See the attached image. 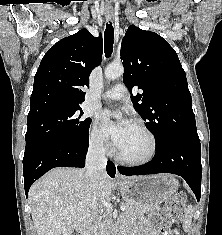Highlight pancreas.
Instances as JSON below:
<instances>
[{
    "label": "pancreas",
    "instance_id": "cf45deb5",
    "mask_svg": "<svg viewBox=\"0 0 222 235\" xmlns=\"http://www.w3.org/2000/svg\"><path fill=\"white\" fill-rule=\"evenodd\" d=\"M125 207H126L125 215L128 217V219L130 221H133V220L139 218L141 215L148 213L150 211H153V210L159 211L160 210V208L158 206L139 208V207L132 205L131 203H127ZM111 223H112L111 217L107 216L105 218V220H103V222H102L101 230L103 231V229L110 226Z\"/></svg>",
    "mask_w": 222,
    "mask_h": 235
}]
</instances>
